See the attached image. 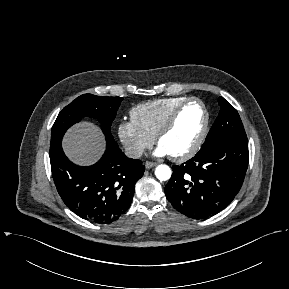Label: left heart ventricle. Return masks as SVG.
Here are the masks:
<instances>
[{"instance_id": "obj_1", "label": "left heart ventricle", "mask_w": 289, "mask_h": 289, "mask_svg": "<svg viewBox=\"0 0 289 289\" xmlns=\"http://www.w3.org/2000/svg\"><path fill=\"white\" fill-rule=\"evenodd\" d=\"M204 123L201 106L192 102L179 115L173 129L161 140L160 146L169 155L180 154L188 150L198 138Z\"/></svg>"}]
</instances>
